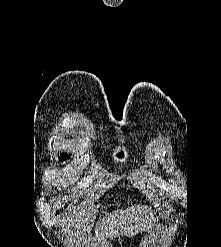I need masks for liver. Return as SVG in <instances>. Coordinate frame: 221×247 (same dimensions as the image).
<instances>
[{
    "label": "liver",
    "instance_id": "6515ba94",
    "mask_svg": "<svg viewBox=\"0 0 221 247\" xmlns=\"http://www.w3.org/2000/svg\"><path fill=\"white\" fill-rule=\"evenodd\" d=\"M150 216L152 213H149ZM116 216L118 219H116ZM147 212L143 208L138 207L135 210L134 207H130L125 211H120V216L109 214L108 218H103L102 222H98L97 225L100 226L101 235L105 234L110 237L112 235H117L119 230H123L124 233H132L137 231L140 227H145L147 223ZM63 222L66 224V229L68 234L74 239V242L80 243L85 241V233L88 231V218L84 214L78 213L77 211H69L66 213ZM74 228V232L71 229ZM77 229V231H76ZM96 235H98V229H95Z\"/></svg>",
    "mask_w": 221,
    "mask_h": 247
}]
</instances>
